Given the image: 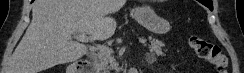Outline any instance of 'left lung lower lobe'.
Instances as JSON below:
<instances>
[{"instance_id": "obj_1", "label": "left lung lower lobe", "mask_w": 244, "mask_h": 73, "mask_svg": "<svg viewBox=\"0 0 244 73\" xmlns=\"http://www.w3.org/2000/svg\"><path fill=\"white\" fill-rule=\"evenodd\" d=\"M203 5L207 6L210 10H213L212 0H199Z\"/></svg>"}]
</instances>
